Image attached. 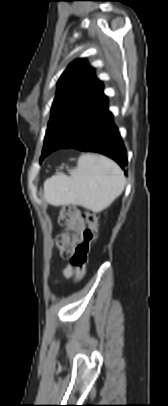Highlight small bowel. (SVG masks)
Masks as SVG:
<instances>
[{"label":"small bowel","mask_w":168,"mask_h":406,"mask_svg":"<svg viewBox=\"0 0 168 406\" xmlns=\"http://www.w3.org/2000/svg\"><path fill=\"white\" fill-rule=\"evenodd\" d=\"M73 274V270L70 266H66L62 272L63 277H70Z\"/></svg>","instance_id":"1"}]
</instances>
